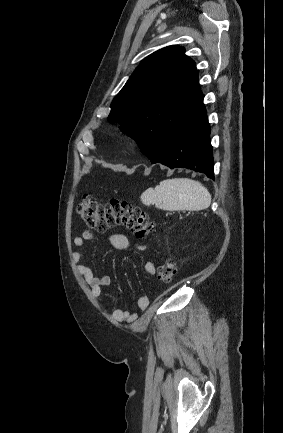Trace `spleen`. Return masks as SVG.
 Here are the masks:
<instances>
[{
	"mask_svg": "<svg viewBox=\"0 0 283 433\" xmlns=\"http://www.w3.org/2000/svg\"><path fill=\"white\" fill-rule=\"evenodd\" d=\"M143 204H155L163 210H203L211 204V194L198 180L192 178H167L155 188L141 194Z\"/></svg>",
	"mask_w": 283,
	"mask_h": 433,
	"instance_id": "spleen-1",
	"label": "spleen"
}]
</instances>
